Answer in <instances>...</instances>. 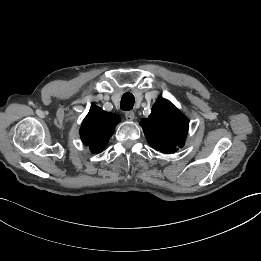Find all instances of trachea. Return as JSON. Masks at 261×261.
<instances>
[{"label":"trachea","mask_w":261,"mask_h":261,"mask_svg":"<svg viewBox=\"0 0 261 261\" xmlns=\"http://www.w3.org/2000/svg\"><path fill=\"white\" fill-rule=\"evenodd\" d=\"M134 102V95L131 93H125L121 98L120 108L122 110H131L133 108Z\"/></svg>","instance_id":"1"}]
</instances>
